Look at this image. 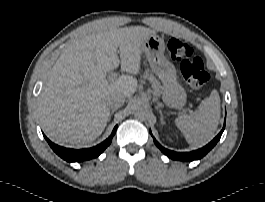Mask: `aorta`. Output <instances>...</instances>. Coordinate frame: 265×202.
<instances>
[{"label":"aorta","mask_w":265,"mask_h":202,"mask_svg":"<svg viewBox=\"0 0 265 202\" xmlns=\"http://www.w3.org/2000/svg\"><path fill=\"white\" fill-rule=\"evenodd\" d=\"M134 115L140 120H146L149 117V109L145 104H138L134 109Z\"/></svg>","instance_id":"aorta-1"}]
</instances>
